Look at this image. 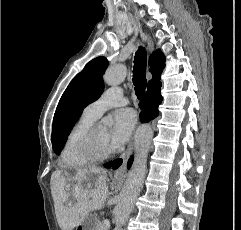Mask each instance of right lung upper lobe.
I'll return each instance as SVG.
<instances>
[{
  "instance_id": "right-lung-upper-lobe-1",
  "label": "right lung upper lobe",
  "mask_w": 241,
  "mask_h": 230,
  "mask_svg": "<svg viewBox=\"0 0 241 230\" xmlns=\"http://www.w3.org/2000/svg\"><path fill=\"white\" fill-rule=\"evenodd\" d=\"M149 64L152 79L148 82V85L160 80V75L165 66V56L161 50H156L152 53L149 59Z\"/></svg>"
}]
</instances>
